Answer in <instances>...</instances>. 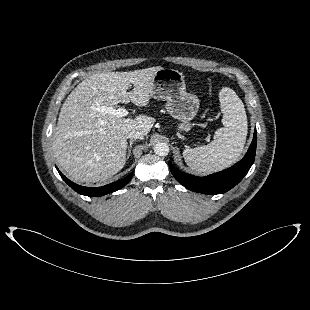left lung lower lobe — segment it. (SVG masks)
I'll return each mask as SVG.
<instances>
[{
    "label": "left lung lower lobe",
    "instance_id": "1",
    "mask_svg": "<svg viewBox=\"0 0 310 310\" xmlns=\"http://www.w3.org/2000/svg\"><path fill=\"white\" fill-rule=\"evenodd\" d=\"M257 131L244 158L232 167L205 177L184 173L169 162L173 176L187 189L204 194H222L237 185L247 174L255 159Z\"/></svg>",
    "mask_w": 310,
    "mask_h": 310
}]
</instances>
